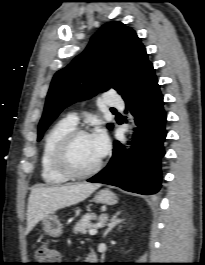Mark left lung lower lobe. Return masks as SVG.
I'll return each mask as SVG.
<instances>
[{
    "label": "left lung lower lobe",
    "mask_w": 205,
    "mask_h": 265,
    "mask_svg": "<svg viewBox=\"0 0 205 265\" xmlns=\"http://www.w3.org/2000/svg\"><path fill=\"white\" fill-rule=\"evenodd\" d=\"M123 99L137 118L134 140L129 143L131 149L126 153L125 146L115 141L109 164L87 181L118 186L143 195L155 194L161 187L160 160L165 154L166 113L153 66Z\"/></svg>",
    "instance_id": "obj_1"
}]
</instances>
